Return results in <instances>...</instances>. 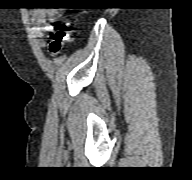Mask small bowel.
Instances as JSON below:
<instances>
[{
    "label": "small bowel",
    "instance_id": "c3829d8e",
    "mask_svg": "<svg viewBox=\"0 0 192 180\" xmlns=\"http://www.w3.org/2000/svg\"><path fill=\"white\" fill-rule=\"evenodd\" d=\"M60 16L59 12L53 8L38 9L31 13V24L34 27V31L39 37V45L44 46L45 41L42 39L44 31L48 30V21H56Z\"/></svg>",
    "mask_w": 192,
    "mask_h": 180
}]
</instances>
